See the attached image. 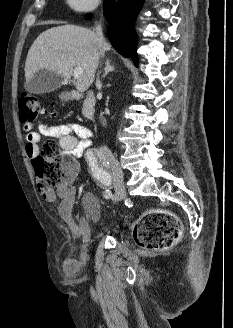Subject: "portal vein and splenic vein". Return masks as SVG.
<instances>
[{"label":"portal vein and splenic vein","mask_w":233,"mask_h":328,"mask_svg":"<svg viewBox=\"0 0 233 328\" xmlns=\"http://www.w3.org/2000/svg\"><path fill=\"white\" fill-rule=\"evenodd\" d=\"M73 72H74V75H80L83 73V70L81 67H75Z\"/></svg>","instance_id":"18ae733b"}]
</instances>
